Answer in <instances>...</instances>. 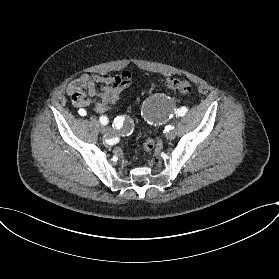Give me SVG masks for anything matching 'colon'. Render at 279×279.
Instances as JSON below:
<instances>
[{
  "label": "colon",
  "instance_id": "colon-1",
  "mask_svg": "<svg viewBox=\"0 0 279 279\" xmlns=\"http://www.w3.org/2000/svg\"><path fill=\"white\" fill-rule=\"evenodd\" d=\"M163 85L166 90L177 94H187V93H191L193 90L191 82L185 78L166 79ZM153 147H154V141L151 138H148L145 143V148H144L145 153L147 154L151 153Z\"/></svg>",
  "mask_w": 279,
  "mask_h": 279
}]
</instances>
